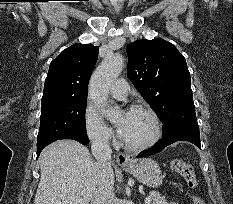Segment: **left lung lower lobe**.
I'll list each match as a JSON object with an SVG mask.
<instances>
[{
  "mask_svg": "<svg viewBox=\"0 0 233 204\" xmlns=\"http://www.w3.org/2000/svg\"><path fill=\"white\" fill-rule=\"evenodd\" d=\"M188 141L194 143L201 149L199 127L193 125L178 126L172 129L168 134H163V137L151 149L140 153L137 158L147 157L162 151L166 146L177 142Z\"/></svg>",
  "mask_w": 233,
  "mask_h": 204,
  "instance_id": "left-lung-lower-lobe-1",
  "label": "left lung lower lobe"
}]
</instances>
